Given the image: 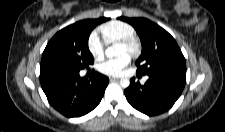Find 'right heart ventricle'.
Masks as SVG:
<instances>
[{
	"mask_svg": "<svg viewBox=\"0 0 225 132\" xmlns=\"http://www.w3.org/2000/svg\"><path fill=\"white\" fill-rule=\"evenodd\" d=\"M102 38L108 44L118 42L122 39L135 36V28L123 21L113 20L105 23L99 29Z\"/></svg>",
	"mask_w": 225,
	"mask_h": 132,
	"instance_id": "obj_1",
	"label": "right heart ventricle"
}]
</instances>
